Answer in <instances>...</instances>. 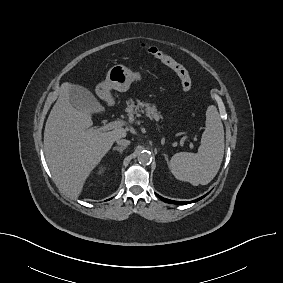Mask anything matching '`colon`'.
I'll use <instances>...</instances> for the list:
<instances>
[{
	"mask_svg": "<svg viewBox=\"0 0 283 283\" xmlns=\"http://www.w3.org/2000/svg\"><path fill=\"white\" fill-rule=\"evenodd\" d=\"M143 48L176 74L185 92L192 89V78L188 70L182 64L159 47L144 45Z\"/></svg>",
	"mask_w": 283,
	"mask_h": 283,
	"instance_id": "colon-1",
	"label": "colon"
}]
</instances>
